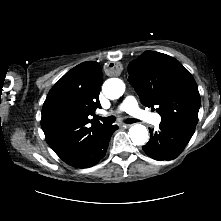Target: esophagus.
I'll use <instances>...</instances> for the list:
<instances>
[{
  "instance_id": "esophagus-1",
  "label": "esophagus",
  "mask_w": 221,
  "mask_h": 221,
  "mask_svg": "<svg viewBox=\"0 0 221 221\" xmlns=\"http://www.w3.org/2000/svg\"><path fill=\"white\" fill-rule=\"evenodd\" d=\"M131 126V124H122V127L124 128H129Z\"/></svg>"
}]
</instances>
